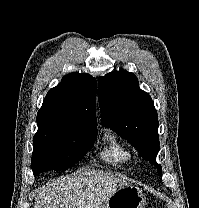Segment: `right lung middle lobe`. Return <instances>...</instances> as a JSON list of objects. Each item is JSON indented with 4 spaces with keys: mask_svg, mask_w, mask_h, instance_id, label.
I'll use <instances>...</instances> for the list:
<instances>
[{
    "mask_svg": "<svg viewBox=\"0 0 199 208\" xmlns=\"http://www.w3.org/2000/svg\"><path fill=\"white\" fill-rule=\"evenodd\" d=\"M97 138L95 127H58L38 124L33 138L31 167L34 175L67 170L82 160Z\"/></svg>",
    "mask_w": 199,
    "mask_h": 208,
    "instance_id": "dd1d6c3e",
    "label": "right lung middle lobe"
}]
</instances>
